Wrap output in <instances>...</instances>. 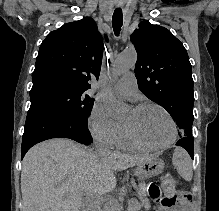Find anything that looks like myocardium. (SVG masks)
Segmentation results:
<instances>
[{"label":"myocardium","mask_w":219,"mask_h":211,"mask_svg":"<svg viewBox=\"0 0 219 211\" xmlns=\"http://www.w3.org/2000/svg\"><path fill=\"white\" fill-rule=\"evenodd\" d=\"M156 107L158 109H160L169 119L171 127H172V135L171 138L168 142H166L165 144L162 145H152L149 143H146L145 141H143L139 136H137L133 130L125 123H123V127L124 130L128 136V138L137 146L144 148V149H148V150H163V149H167L169 148L171 145H173L176 141L177 138V125L176 122L172 116V114L161 104L155 103V102H151V101H146V102H141L138 103L136 105H134L132 108L133 109H142L144 107Z\"/></svg>","instance_id":"f54148a6"}]
</instances>
